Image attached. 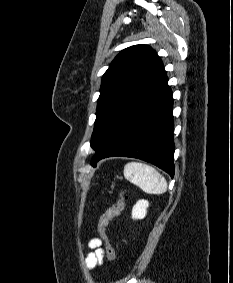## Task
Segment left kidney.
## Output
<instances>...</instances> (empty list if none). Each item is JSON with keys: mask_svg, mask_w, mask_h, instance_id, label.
I'll return each instance as SVG.
<instances>
[{"mask_svg": "<svg viewBox=\"0 0 233 283\" xmlns=\"http://www.w3.org/2000/svg\"><path fill=\"white\" fill-rule=\"evenodd\" d=\"M149 203L146 200H139L132 209L133 219H143L147 214Z\"/></svg>", "mask_w": 233, "mask_h": 283, "instance_id": "5707ae66", "label": "left kidney"}]
</instances>
